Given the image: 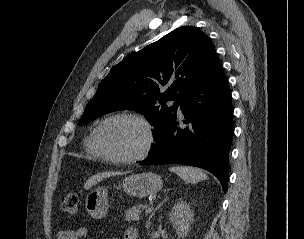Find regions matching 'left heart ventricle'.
<instances>
[{
    "instance_id": "left-heart-ventricle-1",
    "label": "left heart ventricle",
    "mask_w": 304,
    "mask_h": 239,
    "mask_svg": "<svg viewBox=\"0 0 304 239\" xmlns=\"http://www.w3.org/2000/svg\"><path fill=\"white\" fill-rule=\"evenodd\" d=\"M100 141L108 152L129 157L141 151L146 141V132L139 122L120 118L108 122L102 128Z\"/></svg>"
}]
</instances>
